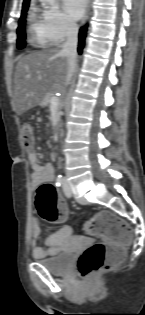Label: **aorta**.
I'll list each match as a JSON object with an SVG mask.
<instances>
[{
	"instance_id": "762f6f07",
	"label": "aorta",
	"mask_w": 145,
	"mask_h": 315,
	"mask_svg": "<svg viewBox=\"0 0 145 315\" xmlns=\"http://www.w3.org/2000/svg\"><path fill=\"white\" fill-rule=\"evenodd\" d=\"M44 6L54 4L55 0H40Z\"/></svg>"
}]
</instances>
